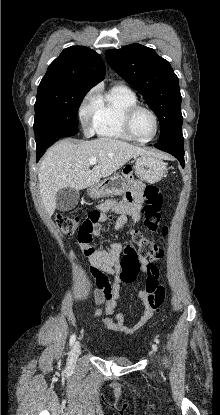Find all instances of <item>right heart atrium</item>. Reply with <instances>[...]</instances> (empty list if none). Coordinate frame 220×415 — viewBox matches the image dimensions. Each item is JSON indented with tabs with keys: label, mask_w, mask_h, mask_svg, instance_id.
<instances>
[{
	"label": "right heart atrium",
	"mask_w": 220,
	"mask_h": 415,
	"mask_svg": "<svg viewBox=\"0 0 220 415\" xmlns=\"http://www.w3.org/2000/svg\"><path fill=\"white\" fill-rule=\"evenodd\" d=\"M94 98L85 101L79 109V117L86 133L91 131V125H93L95 103Z\"/></svg>",
	"instance_id": "right-heart-atrium-1"
}]
</instances>
